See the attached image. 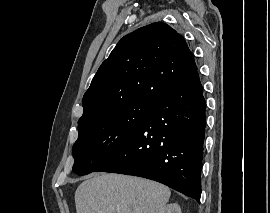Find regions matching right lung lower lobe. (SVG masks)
<instances>
[{"instance_id":"1","label":"right lung lower lobe","mask_w":270,"mask_h":213,"mask_svg":"<svg viewBox=\"0 0 270 213\" xmlns=\"http://www.w3.org/2000/svg\"><path fill=\"white\" fill-rule=\"evenodd\" d=\"M205 108L196 71L159 100L138 131L94 171L155 180L200 202Z\"/></svg>"}]
</instances>
